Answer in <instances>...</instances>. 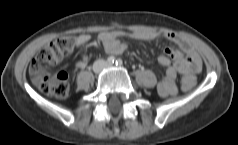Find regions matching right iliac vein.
<instances>
[{"instance_id":"63e3f726","label":"right iliac vein","mask_w":238,"mask_h":145,"mask_svg":"<svg viewBox=\"0 0 238 145\" xmlns=\"http://www.w3.org/2000/svg\"><path fill=\"white\" fill-rule=\"evenodd\" d=\"M102 67H103V63L102 62L97 63L95 68H94L95 72L100 71Z\"/></svg>"}]
</instances>
